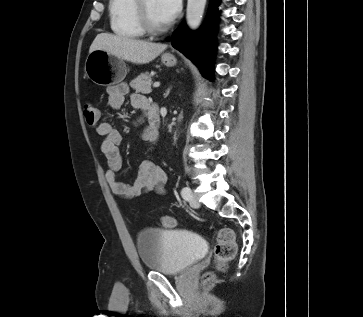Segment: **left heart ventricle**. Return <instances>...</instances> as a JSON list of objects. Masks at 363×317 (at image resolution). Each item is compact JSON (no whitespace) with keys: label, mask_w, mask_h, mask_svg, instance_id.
Masks as SVG:
<instances>
[{"label":"left heart ventricle","mask_w":363,"mask_h":317,"mask_svg":"<svg viewBox=\"0 0 363 317\" xmlns=\"http://www.w3.org/2000/svg\"><path fill=\"white\" fill-rule=\"evenodd\" d=\"M146 11L150 21L155 26H164L166 25L158 8L157 0H146L145 3Z\"/></svg>","instance_id":"b2bd125f"}]
</instances>
